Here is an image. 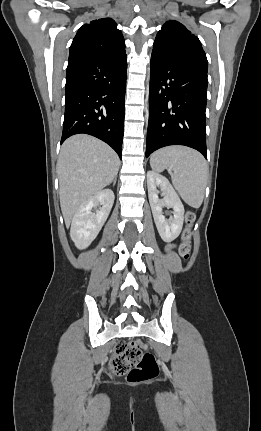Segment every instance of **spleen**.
Instances as JSON below:
<instances>
[{
    "mask_svg": "<svg viewBox=\"0 0 261 431\" xmlns=\"http://www.w3.org/2000/svg\"><path fill=\"white\" fill-rule=\"evenodd\" d=\"M150 164L156 172L172 170V183L181 198L193 208L201 206L208 167L200 153L186 147H166L152 154Z\"/></svg>",
    "mask_w": 261,
    "mask_h": 431,
    "instance_id": "obj_1",
    "label": "spleen"
}]
</instances>
